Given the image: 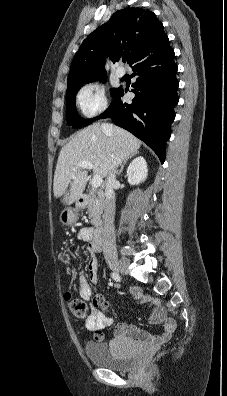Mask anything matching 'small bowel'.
I'll return each instance as SVG.
<instances>
[{"instance_id": "obj_1", "label": "small bowel", "mask_w": 227, "mask_h": 396, "mask_svg": "<svg viewBox=\"0 0 227 396\" xmlns=\"http://www.w3.org/2000/svg\"><path fill=\"white\" fill-rule=\"evenodd\" d=\"M78 236L79 239L86 243V250L90 254L87 266L88 274H81L79 277V295L83 300H89L92 296L91 285H96L98 282V260L93 255V252L99 250V248L93 243L91 229L82 228ZM131 295L134 299L140 300L142 303H148L154 307L151 321L153 323L163 324V331L159 335H151L138 327L122 323L116 326L112 343H130L153 350L170 340L176 329V322L172 318L167 317L159 301L143 295L141 290L137 287L131 289ZM93 304L95 309H93L86 319L85 326L88 330L94 332V339L97 342H105L106 335L104 331L107 327L111 326L112 318L102 312L107 309V303L102 296H96L93 300Z\"/></svg>"}]
</instances>
